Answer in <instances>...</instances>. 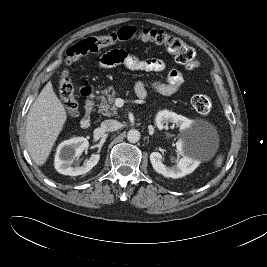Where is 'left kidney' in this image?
<instances>
[{
	"label": "left kidney",
	"mask_w": 267,
	"mask_h": 267,
	"mask_svg": "<svg viewBox=\"0 0 267 267\" xmlns=\"http://www.w3.org/2000/svg\"><path fill=\"white\" fill-rule=\"evenodd\" d=\"M166 123L176 124L181 131H186L192 126V121L188 118L178 115L172 111L162 110L156 116V125L162 130ZM177 148L183 154V158L177 161L173 167H167L162 162V155L159 152H152L150 154V162L153 169L167 178H181L187 174L192 173L199 165V161L195 160L187 151L184 142H179Z\"/></svg>",
	"instance_id": "1"
}]
</instances>
